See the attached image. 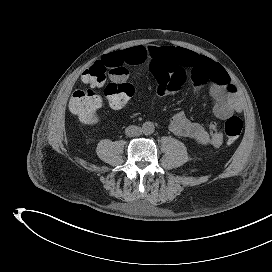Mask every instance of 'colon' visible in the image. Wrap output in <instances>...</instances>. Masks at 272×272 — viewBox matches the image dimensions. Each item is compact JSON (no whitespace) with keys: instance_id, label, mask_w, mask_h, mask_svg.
I'll return each mask as SVG.
<instances>
[{"instance_id":"obj_1","label":"colon","mask_w":272,"mask_h":272,"mask_svg":"<svg viewBox=\"0 0 272 272\" xmlns=\"http://www.w3.org/2000/svg\"><path fill=\"white\" fill-rule=\"evenodd\" d=\"M107 72L115 76L106 84L103 91L112 108L124 107L134 95V87L127 81V70L124 67L109 68L102 63L95 62L84 71L82 76L87 88L76 90L69 102L72 114L85 125H92L99 119V111L102 106L100 87L105 82ZM224 128L227 144L231 145L242 133L243 121L237 116H231L225 121Z\"/></svg>"}]
</instances>
